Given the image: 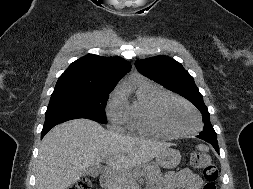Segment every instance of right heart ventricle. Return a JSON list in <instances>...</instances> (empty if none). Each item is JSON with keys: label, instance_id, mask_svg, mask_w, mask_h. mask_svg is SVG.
Wrapping results in <instances>:
<instances>
[{"label": "right heart ventricle", "instance_id": "right-heart-ventricle-1", "mask_svg": "<svg viewBox=\"0 0 253 189\" xmlns=\"http://www.w3.org/2000/svg\"><path fill=\"white\" fill-rule=\"evenodd\" d=\"M134 99L127 103L126 125L129 129L144 134L167 136L150 123V109L154 101L166 92L149 82H140L133 87Z\"/></svg>", "mask_w": 253, "mask_h": 189}]
</instances>
